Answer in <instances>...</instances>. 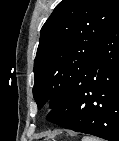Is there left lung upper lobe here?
I'll list each match as a JSON object with an SVG mask.
<instances>
[{"mask_svg": "<svg viewBox=\"0 0 119 141\" xmlns=\"http://www.w3.org/2000/svg\"><path fill=\"white\" fill-rule=\"evenodd\" d=\"M119 14V0H62L41 29L33 96L40 109L56 106L94 58Z\"/></svg>", "mask_w": 119, "mask_h": 141, "instance_id": "obj_1", "label": "left lung upper lobe"}]
</instances>
